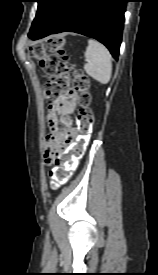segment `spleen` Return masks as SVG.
Listing matches in <instances>:
<instances>
[{"label":"spleen","instance_id":"spleen-1","mask_svg":"<svg viewBox=\"0 0 158 275\" xmlns=\"http://www.w3.org/2000/svg\"><path fill=\"white\" fill-rule=\"evenodd\" d=\"M85 57L88 60L84 65L86 73L101 84L108 83L112 74L111 54L108 49L98 41L89 39Z\"/></svg>","mask_w":158,"mask_h":275}]
</instances>
